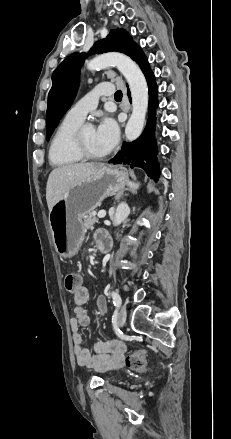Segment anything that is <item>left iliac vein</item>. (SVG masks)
<instances>
[{
  "label": "left iliac vein",
  "mask_w": 231,
  "mask_h": 439,
  "mask_svg": "<svg viewBox=\"0 0 231 439\" xmlns=\"http://www.w3.org/2000/svg\"><path fill=\"white\" fill-rule=\"evenodd\" d=\"M126 316H127L126 307L123 305L120 307L118 312V322L121 326L124 325L126 321Z\"/></svg>",
  "instance_id": "left-iliac-vein-1"
}]
</instances>
